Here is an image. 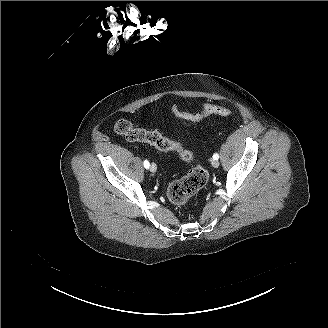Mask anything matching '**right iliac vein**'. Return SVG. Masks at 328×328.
<instances>
[{"label":"right iliac vein","instance_id":"1","mask_svg":"<svg viewBox=\"0 0 328 328\" xmlns=\"http://www.w3.org/2000/svg\"><path fill=\"white\" fill-rule=\"evenodd\" d=\"M150 171L155 173L157 171V166L155 163H151V166H150Z\"/></svg>","mask_w":328,"mask_h":328}]
</instances>
